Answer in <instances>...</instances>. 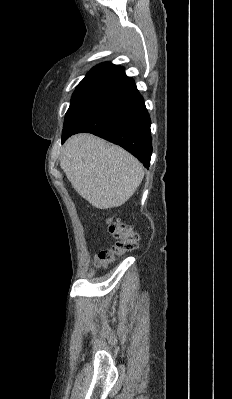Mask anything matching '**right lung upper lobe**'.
<instances>
[{
  "mask_svg": "<svg viewBox=\"0 0 232 399\" xmlns=\"http://www.w3.org/2000/svg\"><path fill=\"white\" fill-rule=\"evenodd\" d=\"M123 71L124 68L121 66L113 65L111 63H101L93 67L83 80L92 81L98 84L119 75Z\"/></svg>",
  "mask_w": 232,
  "mask_h": 399,
  "instance_id": "obj_1",
  "label": "right lung upper lobe"
}]
</instances>
